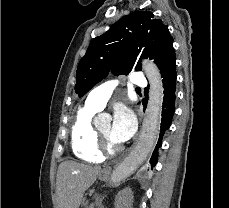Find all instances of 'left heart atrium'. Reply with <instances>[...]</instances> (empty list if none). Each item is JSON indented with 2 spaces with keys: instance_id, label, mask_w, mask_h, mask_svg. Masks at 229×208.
I'll return each mask as SVG.
<instances>
[{
  "instance_id": "39dd6f15",
  "label": "left heart atrium",
  "mask_w": 229,
  "mask_h": 208,
  "mask_svg": "<svg viewBox=\"0 0 229 208\" xmlns=\"http://www.w3.org/2000/svg\"><path fill=\"white\" fill-rule=\"evenodd\" d=\"M136 127V117L133 111L127 106H118L111 128L112 139L117 143H123L134 135Z\"/></svg>"
}]
</instances>
